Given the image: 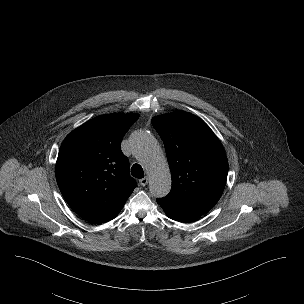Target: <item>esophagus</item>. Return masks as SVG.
Wrapping results in <instances>:
<instances>
[{
	"instance_id": "34e87169",
	"label": "esophagus",
	"mask_w": 304,
	"mask_h": 304,
	"mask_svg": "<svg viewBox=\"0 0 304 304\" xmlns=\"http://www.w3.org/2000/svg\"><path fill=\"white\" fill-rule=\"evenodd\" d=\"M149 178L147 176H145L144 178L140 179V184L142 186H146L148 183Z\"/></svg>"
}]
</instances>
